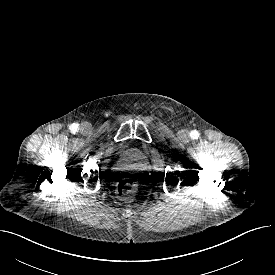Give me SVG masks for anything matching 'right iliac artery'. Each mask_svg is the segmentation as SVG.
I'll use <instances>...</instances> for the list:
<instances>
[{"mask_svg": "<svg viewBox=\"0 0 275 275\" xmlns=\"http://www.w3.org/2000/svg\"><path fill=\"white\" fill-rule=\"evenodd\" d=\"M70 130L75 133L78 130V124L74 123L71 125Z\"/></svg>", "mask_w": 275, "mask_h": 275, "instance_id": "82829eb1", "label": "right iliac artery"}]
</instances>
